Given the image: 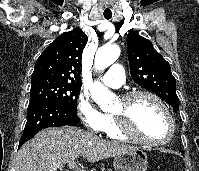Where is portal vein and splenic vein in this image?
I'll use <instances>...</instances> for the list:
<instances>
[{"instance_id": "18ae733b", "label": "portal vein and splenic vein", "mask_w": 199, "mask_h": 171, "mask_svg": "<svg viewBox=\"0 0 199 171\" xmlns=\"http://www.w3.org/2000/svg\"><path fill=\"white\" fill-rule=\"evenodd\" d=\"M61 167H63V165H61ZM68 167L70 168V169H72V170H78V168H77V166H76V162H70V163H68ZM80 171H83V170H80Z\"/></svg>"}]
</instances>
